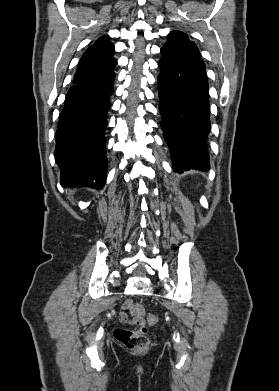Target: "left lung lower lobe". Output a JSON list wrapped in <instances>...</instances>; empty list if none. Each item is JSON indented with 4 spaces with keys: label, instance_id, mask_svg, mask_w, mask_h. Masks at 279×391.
Wrapping results in <instances>:
<instances>
[{
    "label": "left lung lower lobe",
    "instance_id": "0a47b994",
    "mask_svg": "<svg viewBox=\"0 0 279 391\" xmlns=\"http://www.w3.org/2000/svg\"><path fill=\"white\" fill-rule=\"evenodd\" d=\"M158 63L161 127L173 170H208L206 138L210 131L209 88L205 67L162 47Z\"/></svg>",
    "mask_w": 279,
    "mask_h": 391
}]
</instances>
